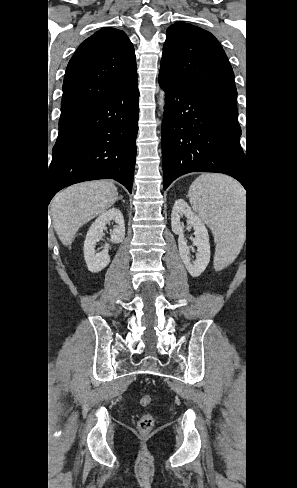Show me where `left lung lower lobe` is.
<instances>
[{"mask_svg": "<svg viewBox=\"0 0 297 488\" xmlns=\"http://www.w3.org/2000/svg\"><path fill=\"white\" fill-rule=\"evenodd\" d=\"M166 91L162 124L164 189L190 172L224 173L248 192L246 156L237 118L184 91L159 74Z\"/></svg>", "mask_w": 297, "mask_h": 488, "instance_id": "1", "label": "left lung lower lobe"}]
</instances>
